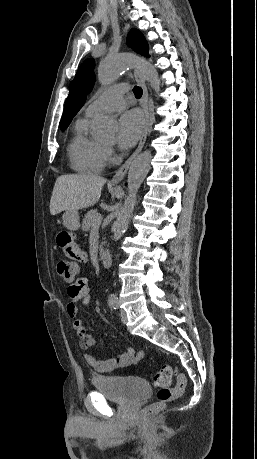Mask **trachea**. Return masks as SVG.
I'll list each match as a JSON object with an SVG mask.
<instances>
[{"label": "trachea", "mask_w": 257, "mask_h": 459, "mask_svg": "<svg viewBox=\"0 0 257 459\" xmlns=\"http://www.w3.org/2000/svg\"><path fill=\"white\" fill-rule=\"evenodd\" d=\"M133 93H134L136 98H140L142 96V93H143L142 88L138 87V86H135L133 88Z\"/></svg>", "instance_id": "trachea-1"}]
</instances>
